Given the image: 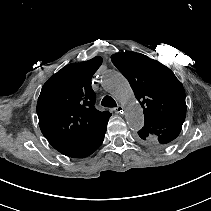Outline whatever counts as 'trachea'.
I'll use <instances>...</instances> for the list:
<instances>
[{"label":"trachea","mask_w":211,"mask_h":211,"mask_svg":"<svg viewBox=\"0 0 211 211\" xmlns=\"http://www.w3.org/2000/svg\"><path fill=\"white\" fill-rule=\"evenodd\" d=\"M101 105L104 107H116L117 103L111 96H105L102 99Z\"/></svg>","instance_id":"1"}]
</instances>
